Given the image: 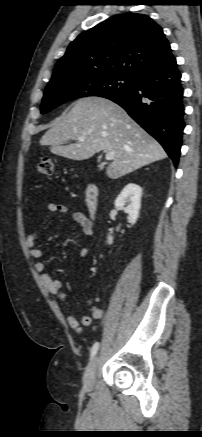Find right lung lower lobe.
Here are the masks:
<instances>
[{"instance_id": "obj_1", "label": "right lung lower lobe", "mask_w": 202, "mask_h": 437, "mask_svg": "<svg viewBox=\"0 0 202 437\" xmlns=\"http://www.w3.org/2000/svg\"><path fill=\"white\" fill-rule=\"evenodd\" d=\"M108 99L124 108L178 164L185 122L181 73L175 57L137 76L128 91Z\"/></svg>"}]
</instances>
